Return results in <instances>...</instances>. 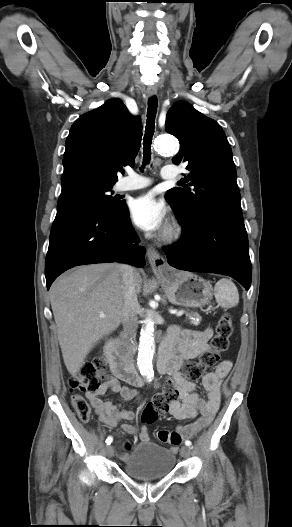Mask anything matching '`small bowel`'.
Wrapping results in <instances>:
<instances>
[{"instance_id": "small-bowel-1", "label": "small bowel", "mask_w": 292, "mask_h": 527, "mask_svg": "<svg viewBox=\"0 0 292 527\" xmlns=\"http://www.w3.org/2000/svg\"><path fill=\"white\" fill-rule=\"evenodd\" d=\"M212 335L210 329L194 331L171 327L164 343L170 350L171 358L167 370L168 378L165 387H171L175 397L168 403V412L177 420L195 418L201 414L194 423L184 427L177 426L176 431H161L158 439L170 444L175 450L185 437L192 436L195 432L210 424L216 414L221 400V383L231 369V362H220L214 371L202 378V387L207 393V399H202L196 392L194 383L187 381L180 372L184 362L198 357L209 349L208 341ZM122 377L114 375L106 380L95 392H88L86 398L97 412L99 419L109 428H115L121 420H133L135 413L123 410L112 400L101 399L107 391L119 393L124 401H131L138 395L135 389L121 385ZM121 430L127 434H138L142 442H149L150 437L146 426L137 427L123 423Z\"/></svg>"}]
</instances>
